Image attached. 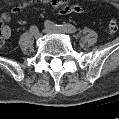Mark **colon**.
Listing matches in <instances>:
<instances>
[{"instance_id": "obj_1", "label": "colon", "mask_w": 119, "mask_h": 119, "mask_svg": "<svg viewBox=\"0 0 119 119\" xmlns=\"http://www.w3.org/2000/svg\"><path fill=\"white\" fill-rule=\"evenodd\" d=\"M107 30H108V33L113 35L117 32L118 30V24H117V21L115 19H111L108 23V26H107ZM4 27H2L0 25V43L3 42V38H4Z\"/></svg>"}]
</instances>
